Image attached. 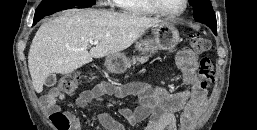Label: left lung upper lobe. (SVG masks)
Masks as SVG:
<instances>
[{
    "label": "left lung upper lobe",
    "instance_id": "5c2ea615",
    "mask_svg": "<svg viewBox=\"0 0 257 130\" xmlns=\"http://www.w3.org/2000/svg\"><path fill=\"white\" fill-rule=\"evenodd\" d=\"M193 7L194 19L206 23L212 30L216 29V16L210 0H190Z\"/></svg>",
    "mask_w": 257,
    "mask_h": 130
}]
</instances>
